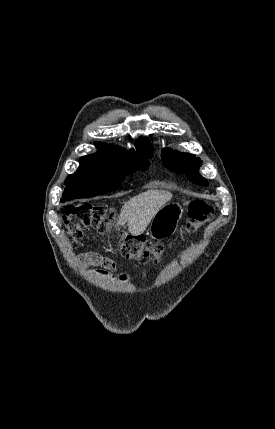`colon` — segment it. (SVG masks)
Masks as SVG:
<instances>
[{
    "instance_id": "obj_1",
    "label": "colon",
    "mask_w": 275,
    "mask_h": 429,
    "mask_svg": "<svg viewBox=\"0 0 275 429\" xmlns=\"http://www.w3.org/2000/svg\"><path fill=\"white\" fill-rule=\"evenodd\" d=\"M212 215L213 209L208 204L203 201H193L188 208V221L184 233H196L211 220ZM63 221L73 240L79 239L83 230L88 228L96 229L101 235L109 234L113 230L112 210L105 205L90 203L69 205ZM120 251L127 259L144 264H156L164 252V246L151 244L145 239L127 234L120 239ZM84 260L89 264L114 269V263L110 259L95 253L86 254Z\"/></svg>"
}]
</instances>
